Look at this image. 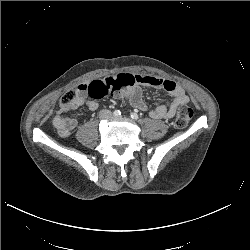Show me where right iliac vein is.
<instances>
[{
  "label": "right iliac vein",
  "instance_id": "1",
  "mask_svg": "<svg viewBox=\"0 0 250 250\" xmlns=\"http://www.w3.org/2000/svg\"><path fill=\"white\" fill-rule=\"evenodd\" d=\"M109 117H111V114H110V112H108V111H103V112L100 114V118H101V119H106V118H109Z\"/></svg>",
  "mask_w": 250,
  "mask_h": 250
}]
</instances>
